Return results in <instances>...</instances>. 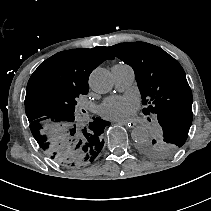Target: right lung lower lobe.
I'll return each instance as SVG.
<instances>
[{
    "instance_id": "obj_1",
    "label": "right lung lower lobe",
    "mask_w": 211,
    "mask_h": 211,
    "mask_svg": "<svg viewBox=\"0 0 211 211\" xmlns=\"http://www.w3.org/2000/svg\"><path fill=\"white\" fill-rule=\"evenodd\" d=\"M103 145H104V140H102L101 137L93 141L92 145L89 146L88 151L86 153V158L88 159L89 162H93L95 160V158L101 152Z\"/></svg>"
}]
</instances>
